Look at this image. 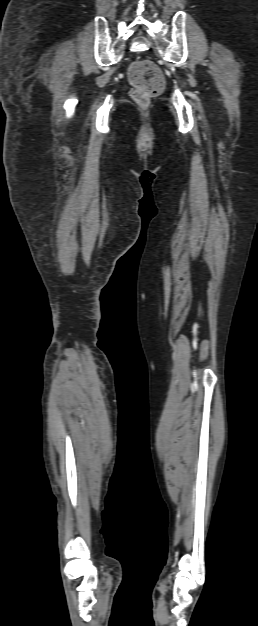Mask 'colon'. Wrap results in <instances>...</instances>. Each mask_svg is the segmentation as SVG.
<instances>
[{"label": "colon", "mask_w": 258, "mask_h": 626, "mask_svg": "<svg viewBox=\"0 0 258 626\" xmlns=\"http://www.w3.org/2000/svg\"><path fill=\"white\" fill-rule=\"evenodd\" d=\"M129 79L134 87L132 98L142 107L149 105L152 98L164 88V76L156 64L150 60L135 61L129 70Z\"/></svg>", "instance_id": "5ec220e1"}]
</instances>
